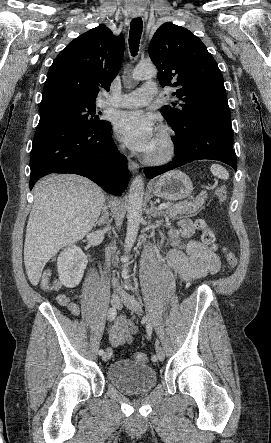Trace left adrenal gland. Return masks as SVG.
<instances>
[{"label": "left adrenal gland", "instance_id": "left-adrenal-gland-1", "mask_svg": "<svg viewBox=\"0 0 271 443\" xmlns=\"http://www.w3.org/2000/svg\"><path fill=\"white\" fill-rule=\"evenodd\" d=\"M151 204V208H150V216H152V218H156V216H161L162 212H158L157 208H155L153 202H150Z\"/></svg>", "mask_w": 271, "mask_h": 443}]
</instances>
